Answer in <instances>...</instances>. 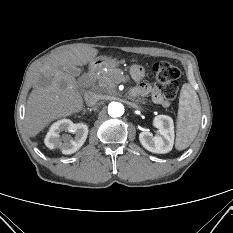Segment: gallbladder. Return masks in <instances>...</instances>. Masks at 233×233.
Instances as JSON below:
<instances>
[{"label":"gallbladder","mask_w":233,"mask_h":233,"mask_svg":"<svg viewBox=\"0 0 233 233\" xmlns=\"http://www.w3.org/2000/svg\"><path fill=\"white\" fill-rule=\"evenodd\" d=\"M69 71H70L71 74H73L76 77L79 76L80 73H81V70L79 68L70 69ZM79 82H81V81H79Z\"/></svg>","instance_id":"obj_1"}]
</instances>
